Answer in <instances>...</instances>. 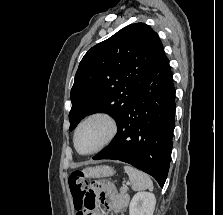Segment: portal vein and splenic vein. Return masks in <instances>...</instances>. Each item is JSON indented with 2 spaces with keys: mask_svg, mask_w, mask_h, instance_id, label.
Instances as JSON below:
<instances>
[{
  "mask_svg": "<svg viewBox=\"0 0 223 215\" xmlns=\"http://www.w3.org/2000/svg\"><path fill=\"white\" fill-rule=\"evenodd\" d=\"M130 183V180L129 179H126L125 180V184L123 185L125 188L128 186L127 184H129Z\"/></svg>",
  "mask_w": 223,
  "mask_h": 215,
  "instance_id": "18ae733b",
  "label": "portal vein and splenic vein"
}]
</instances>
